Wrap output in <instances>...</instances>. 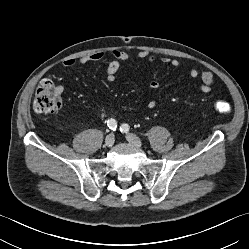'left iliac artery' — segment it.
<instances>
[{
    "label": "left iliac artery",
    "instance_id": "1",
    "mask_svg": "<svg viewBox=\"0 0 249 249\" xmlns=\"http://www.w3.org/2000/svg\"><path fill=\"white\" fill-rule=\"evenodd\" d=\"M129 125L128 124H122L121 127H120V131L121 132H124V133H127L129 131Z\"/></svg>",
    "mask_w": 249,
    "mask_h": 249
}]
</instances>
